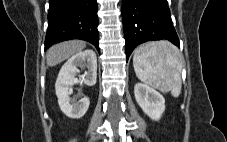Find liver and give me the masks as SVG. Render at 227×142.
Instances as JSON below:
<instances>
[{
  "instance_id": "6515ba94",
  "label": "liver",
  "mask_w": 227,
  "mask_h": 142,
  "mask_svg": "<svg viewBox=\"0 0 227 142\" xmlns=\"http://www.w3.org/2000/svg\"><path fill=\"white\" fill-rule=\"evenodd\" d=\"M86 47V42L81 40H71L56 44L47 51V65L52 67L74 54L81 52Z\"/></svg>"
}]
</instances>
